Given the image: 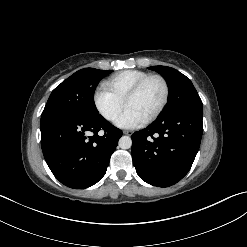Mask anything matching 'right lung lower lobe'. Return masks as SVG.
<instances>
[{
    "instance_id": "obj_1",
    "label": "right lung lower lobe",
    "mask_w": 247,
    "mask_h": 247,
    "mask_svg": "<svg viewBox=\"0 0 247 247\" xmlns=\"http://www.w3.org/2000/svg\"><path fill=\"white\" fill-rule=\"evenodd\" d=\"M40 129L50 170L62 184L74 189L90 187L105 175L122 135L100 114L88 117L64 111L42 115ZM100 130L103 136L98 134Z\"/></svg>"
}]
</instances>
